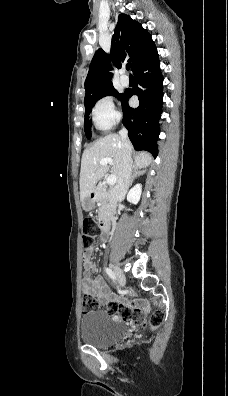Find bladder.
I'll return each instance as SVG.
<instances>
[{"label":"bladder","instance_id":"31cf9c89","mask_svg":"<svg viewBox=\"0 0 228 396\" xmlns=\"http://www.w3.org/2000/svg\"><path fill=\"white\" fill-rule=\"evenodd\" d=\"M81 339L95 347H108L129 334V329L118 320L112 319L104 310L85 313L80 320Z\"/></svg>","mask_w":228,"mask_h":396}]
</instances>
